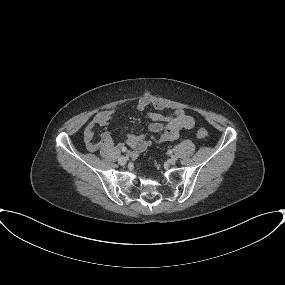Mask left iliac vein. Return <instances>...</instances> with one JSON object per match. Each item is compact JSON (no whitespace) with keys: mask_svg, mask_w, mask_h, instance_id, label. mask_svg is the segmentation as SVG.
Returning <instances> with one entry per match:
<instances>
[{"mask_svg":"<svg viewBox=\"0 0 285 285\" xmlns=\"http://www.w3.org/2000/svg\"><path fill=\"white\" fill-rule=\"evenodd\" d=\"M177 162V157L176 156H171L170 158V163L175 164Z\"/></svg>","mask_w":285,"mask_h":285,"instance_id":"1","label":"left iliac vein"}]
</instances>
